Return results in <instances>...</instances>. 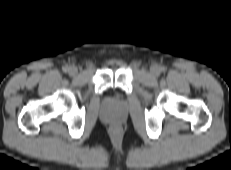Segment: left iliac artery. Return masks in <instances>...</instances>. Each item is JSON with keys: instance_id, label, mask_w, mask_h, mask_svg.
Masks as SVG:
<instances>
[{"instance_id": "1", "label": "left iliac artery", "mask_w": 231, "mask_h": 170, "mask_svg": "<svg viewBox=\"0 0 231 170\" xmlns=\"http://www.w3.org/2000/svg\"><path fill=\"white\" fill-rule=\"evenodd\" d=\"M160 70H161V71H165V67H161Z\"/></svg>"}]
</instances>
